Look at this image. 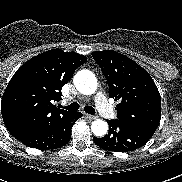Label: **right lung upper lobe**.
Returning a JSON list of instances; mask_svg holds the SVG:
<instances>
[{"label":"right lung upper lobe","mask_w":182,"mask_h":182,"mask_svg":"<svg viewBox=\"0 0 182 182\" xmlns=\"http://www.w3.org/2000/svg\"><path fill=\"white\" fill-rule=\"evenodd\" d=\"M87 58L75 52L52 49L25 64L13 75L2 98L1 113L8 131L20 136L70 116L55 105L62 87Z\"/></svg>","instance_id":"obj_1"}]
</instances>
